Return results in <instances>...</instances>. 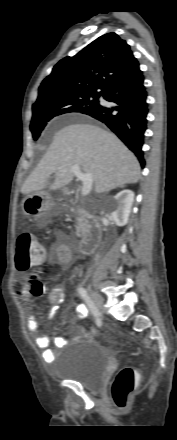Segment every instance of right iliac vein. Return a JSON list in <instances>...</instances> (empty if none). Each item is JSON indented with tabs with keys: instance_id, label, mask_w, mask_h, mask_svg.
I'll return each instance as SVG.
<instances>
[{
	"instance_id": "1",
	"label": "right iliac vein",
	"mask_w": 177,
	"mask_h": 440,
	"mask_svg": "<svg viewBox=\"0 0 177 440\" xmlns=\"http://www.w3.org/2000/svg\"><path fill=\"white\" fill-rule=\"evenodd\" d=\"M90 294H91V298L95 304V306L97 307L98 310H102L103 306H104V302L102 297L94 290H90Z\"/></svg>"
}]
</instances>
